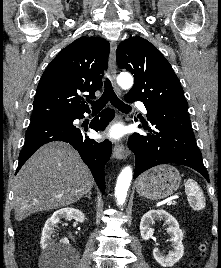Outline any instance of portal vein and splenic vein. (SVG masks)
<instances>
[{"mask_svg":"<svg viewBox=\"0 0 221 268\" xmlns=\"http://www.w3.org/2000/svg\"><path fill=\"white\" fill-rule=\"evenodd\" d=\"M173 204H175V201H173L172 199H169L168 201H167V205H173Z\"/></svg>","mask_w":221,"mask_h":268,"instance_id":"portal-vein-and-splenic-vein-1","label":"portal vein and splenic vein"}]
</instances>
